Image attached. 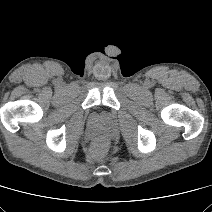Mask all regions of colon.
<instances>
[{"instance_id":"5ec220e1","label":"colon","mask_w":212,"mask_h":212,"mask_svg":"<svg viewBox=\"0 0 212 212\" xmlns=\"http://www.w3.org/2000/svg\"><path fill=\"white\" fill-rule=\"evenodd\" d=\"M106 146V138L104 136H98L93 144V148L96 152H101Z\"/></svg>"}]
</instances>
